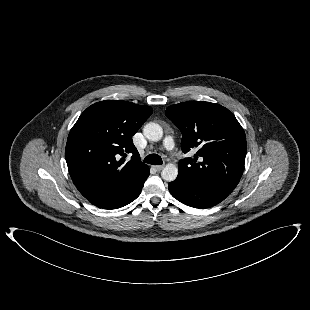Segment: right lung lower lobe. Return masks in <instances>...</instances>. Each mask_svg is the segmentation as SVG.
I'll list each match as a JSON object with an SVG mask.
<instances>
[{
  "label": "right lung lower lobe",
  "instance_id": "98d812e1",
  "mask_svg": "<svg viewBox=\"0 0 310 310\" xmlns=\"http://www.w3.org/2000/svg\"><path fill=\"white\" fill-rule=\"evenodd\" d=\"M149 174L147 175V177ZM147 177L143 181V183L130 195L122 197V198H117V199H111L107 201H102V202H97V203H92L97 207L104 208V209H117L120 207H123L132 201H134L140 194L142 187L144 185V182L146 181Z\"/></svg>",
  "mask_w": 310,
  "mask_h": 310
}]
</instances>
